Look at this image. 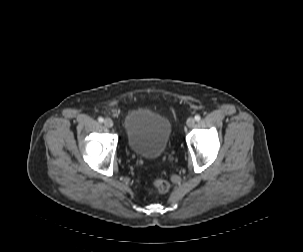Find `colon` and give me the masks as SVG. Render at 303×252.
Listing matches in <instances>:
<instances>
[{
	"instance_id": "5ec220e1",
	"label": "colon",
	"mask_w": 303,
	"mask_h": 252,
	"mask_svg": "<svg viewBox=\"0 0 303 252\" xmlns=\"http://www.w3.org/2000/svg\"><path fill=\"white\" fill-rule=\"evenodd\" d=\"M154 188L156 193L165 194L166 192H168L170 184L165 179H157L154 181Z\"/></svg>"
}]
</instances>
